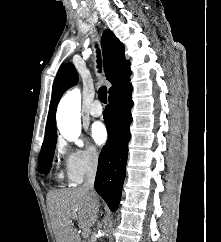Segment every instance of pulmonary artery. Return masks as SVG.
I'll return each mask as SVG.
<instances>
[{"label": "pulmonary artery", "mask_w": 221, "mask_h": 242, "mask_svg": "<svg viewBox=\"0 0 221 242\" xmlns=\"http://www.w3.org/2000/svg\"><path fill=\"white\" fill-rule=\"evenodd\" d=\"M88 112H89V114L92 117H99V116H101L102 112H103V109H102L99 101L92 102V104L89 107Z\"/></svg>", "instance_id": "e3ab8cb5"}]
</instances>
